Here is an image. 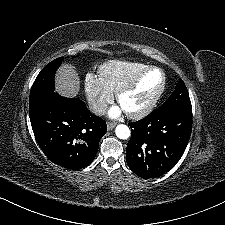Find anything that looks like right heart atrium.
<instances>
[{"instance_id": "obj_1", "label": "right heart atrium", "mask_w": 225, "mask_h": 225, "mask_svg": "<svg viewBox=\"0 0 225 225\" xmlns=\"http://www.w3.org/2000/svg\"><path fill=\"white\" fill-rule=\"evenodd\" d=\"M84 89L90 104L96 111H101L113 99L111 90L104 84L100 77L93 74L89 73L85 76Z\"/></svg>"}]
</instances>
